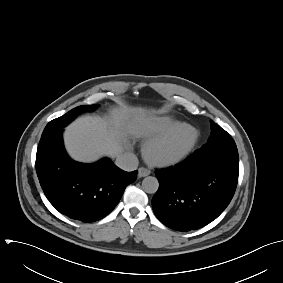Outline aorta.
<instances>
[{"label": "aorta", "instance_id": "1", "mask_svg": "<svg viewBox=\"0 0 283 283\" xmlns=\"http://www.w3.org/2000/svg\"><path fill=\"white\" fill-rule=\"evenodd\" d=\"M159 182L156 177L148 176L142 181V188L146 193L153 194L158 190Z\"/></svg>", "mask_w": 283, "mask_h": 283}]
</instances>
